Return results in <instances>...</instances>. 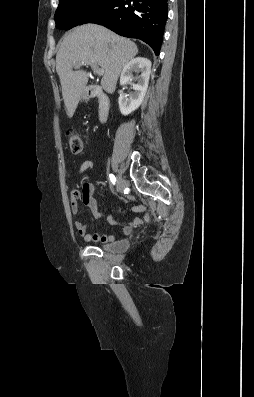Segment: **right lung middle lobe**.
<instances>
[{"instance_id":"right-lung-middle-lobe-1","label":"right lung middle lobe","mask_w":254,"mask_h":397,"mask_svg":"<svg viewBox=\"0 0 254 397\" xmlns=\"http://www.w3.org/2000/svg\"><path fill=\"white\" fill-rule=\"evenodd\" d=\"M114 0H59L56 28L69 30L102 15Z\"/></svg>"}]
</instances>
